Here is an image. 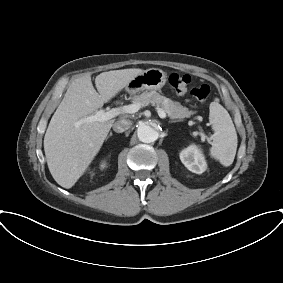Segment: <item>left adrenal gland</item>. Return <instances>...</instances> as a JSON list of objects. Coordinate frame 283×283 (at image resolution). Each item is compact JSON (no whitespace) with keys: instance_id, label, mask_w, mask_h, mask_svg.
<instances>
[{"instance_id":"obj_1","label":"left adrenal gland","mask_w":283,"mask_h":283,"mask_svg":"<svg viewBox=\"0 0 283 283\" xmlns=\"http://www.w3.org/2000/svg\"><path fill=\"white\" fill-rule=\"evenodd\" d=\"M175 122H178V121H169V123H175Z\"/></svg>"}]
</instances>
